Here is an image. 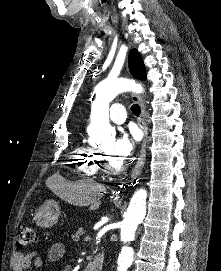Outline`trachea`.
<instances>
[{
	"label": "trachea",
	"instance_id": "trachea-1",
	"mask_svg": "<svg viewBox=\"0 0 221 271\" xmlns=\"http://www.w3.org/2000/svg\"><path fill=\"white\" fill-rule=\"evenodd\" d=\"M131 111L135 116H139L141 113L140 106L139 105H132Z\"/></svg>",
	"mask_w": 221,
	"mask_h": 271
}]
</instances>
